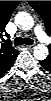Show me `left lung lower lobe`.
Instances as JSON below:
<instances>
[{
  "instance_id": "left-lung-lower-lobe-1",
  "label": "left lung lower lobe",
  "mask_w": 51,
  "mask_h": 101,
  "mask_svg": "<svg viewBox=\"0 0 51 101\" xmlns=\"http://www.w3.org/2000/svg\"><path fill=\"white\" fill-rule=\"evenodd\" d=\"M40 64L46 69V70H49L50 69V66H49V59H45L43 61H40Z\"/></svg>"
}]
</instances>
